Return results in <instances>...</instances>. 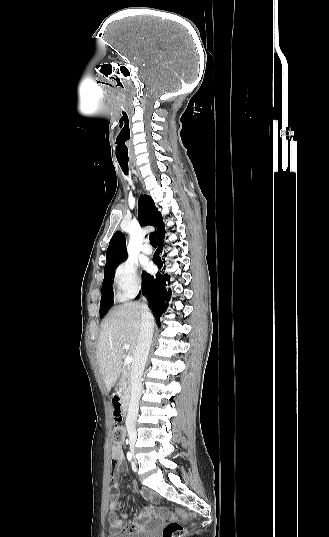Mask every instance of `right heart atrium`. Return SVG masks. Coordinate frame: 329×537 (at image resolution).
Wrapping results in <instances>:
<instances>
[{"label": "right heart atrium", "mask_w": 329, "mask_h": 537, "mask_svg": "<svg viewBox=\"0 0 329 537\" xmlns=\"http://www.w3.org/2000/svg\"><path fill=\"white\" fill-rule=\"evenodd\" d=\"M113 282L119 299L133 297L141 286L136 262L131 259H125L120 262L114 270Z\"/></svg>", "instance_id": "d8ad5b80"}]
</instances>
